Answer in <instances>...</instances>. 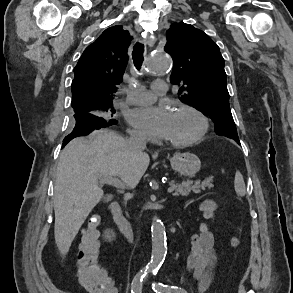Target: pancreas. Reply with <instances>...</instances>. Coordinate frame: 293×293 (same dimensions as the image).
I'll list each match as a JSON object with an SVG mask.
<instances>
[{"label": "pancreas", "instance_id": "cf45deb5", "mask_svg": "<svg viewBox=\"0 0 293 293\" xmlns=\"http://www.w3.org/2000/svg\"><path fill=\"white\" fill-rule=\"evenodd\" d=\"M169 184L175 190L173 196H188L190 192L198 194L201 192V190H205L206 187H212L210 179H206L202 182L200 180H196L194 182L191 180H186L180 184L171 181Z\"/></svg>", "mask_w": 293, "mask_h": 293}]
</instances>
